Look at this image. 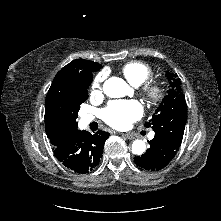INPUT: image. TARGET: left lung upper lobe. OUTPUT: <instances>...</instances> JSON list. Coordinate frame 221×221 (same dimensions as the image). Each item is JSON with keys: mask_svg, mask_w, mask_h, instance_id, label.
I'll return each instance as SVG.
<instances>
[{"mask_svg": "<svg viewBox=\"0 0 221 221\" xmlns=\"http://www.w3.org/2000/svg\"><path fill=\"white\" fill-rule=\"evenodd\" d=\"M167 78L171 81V89L145 126L152 127L155 133L174 136L182 141L187 120L185 96L177 75L167 73Z\"/></svg>", "mask_w": 221, "mask_h": 221, "instance_id": "left-lung-upper-lobe-1", "label": "left lung upper lobe"}]
</instances>
